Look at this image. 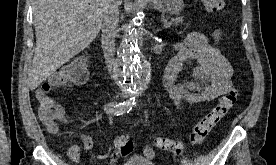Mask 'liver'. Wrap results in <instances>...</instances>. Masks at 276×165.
I'll list each match as a JSON object with an SVG mask.
<instances>
[{"mask_svg":"<svg viewBox=\"0 0 276 165\" xmlns=\"http://www.w3.org/2000/svg\"><path fill=\"white\" fill-rule=\"evenodd\" d=\"M121 0H119V5ZM104 0H36V47L28 87L36 89L98 35Z\"/></svg>","mask_w":276,"mask_h":165,"instance_id":"liver-1","label":"liver"}]
</instances>
